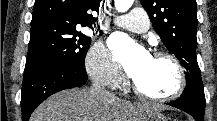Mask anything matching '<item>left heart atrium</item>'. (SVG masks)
I'll list each match as a JSON object with an SVG mask.
<instances>
[{"label":"left heart atrium","mask_w":217,"mask_h":121,"mask_svg":"<svg viewBox=\"0 0 217 121\" xmlns=\"http://www.w3.org/2000/svg\"><path fill=\"white\" fill-rule=\"evenodd\" d=\"M110 47L115 58L122 63L127 74L134 78L150 59L149 53L137 46L125 35L117 33L110 39Z\"/></svg>","instance_id":"1"}]
</instances>
